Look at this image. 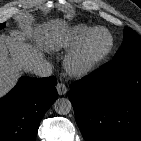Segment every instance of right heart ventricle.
I'll return each mask as SVG.
<instances>
[{
    "label": "right heart ventricle",
    "instance_id": "e07e8e85",
    "mask_svg": "<svg viewBox=\"0 0 141 141\" xmlns=\"http://www.w3.org/2000/svg\"><path fill=\"white\" fill-rule=\"evenodd\" d=\"M93 28L95 27L86 24H76L56 39L55 47L63 51H72Z\"/></svg>",
    "mask_w": 141,
    "mask_h": 141
}]
</instances>
